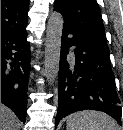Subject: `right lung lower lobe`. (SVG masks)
Wrapping results in <instances>:
<instances>
[{
	"label": "right lung lower lobe",
	"instance_id": "obj_1",
	"mask_svg": "<svg viewBox=\"0 0 123 130\" xmlns=\"http://www.w3.org/2000/svg\"><path fill=\"white\" fill-rule=\"evenodd\" d=\"M26 29L1 33V102L25 123L30 46Z\"/></svg>",
	"mask_w": 123,
	"mask_h": 130
}]
</instances>
